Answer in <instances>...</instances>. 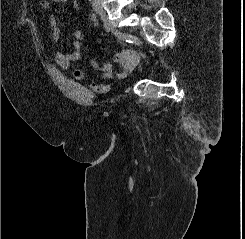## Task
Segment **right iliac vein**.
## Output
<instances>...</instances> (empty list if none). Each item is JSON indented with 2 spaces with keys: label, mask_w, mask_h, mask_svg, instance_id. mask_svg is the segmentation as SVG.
<instances>
[{
  "label": "right iliac vein",
  "mask_w": 245,
  "mask_h": 239,
  "mask_svg": "<svg viewBox=\"0 0 245 239\" xmlns=\"http://www.w3.org/2000/svg\"><path fill=\"white\" fill-rule=\"evenodd\" d=\"M93 9L99 15V17L104 22V24H106L113 33H115L116 35L120 37H124L123 33L120 30H118L117 27L113 25L112 22L108 19L105 11L103 10L101 6L93 5Z\"/></svg>",
  "instance_id": "right-iliac-vein-1"
}]
</instances>
